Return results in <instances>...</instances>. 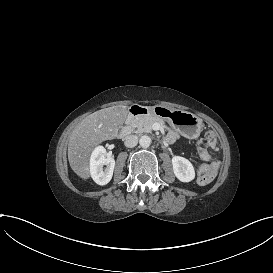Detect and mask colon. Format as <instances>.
Wrapping results in <instances>:
<instances>
[{"mask_svg":"<svg viewBox=\"0 0 273 273\" xmlns=\"http://www.w3.org/2000/svg\"><path fill=\"white\" fill-rule=\"evenodd\" d=\"M218 165V162L214 161L206 164L200 169L201 184H207L215 177Z\"/></svg>","mask_w":273,"mask_h":273,"instance_id":"1","label":"colon"}]
</instances>
